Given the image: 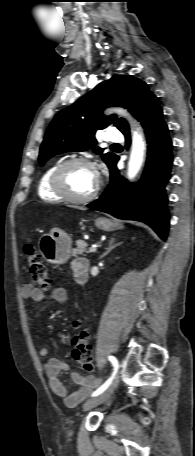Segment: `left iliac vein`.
<instances>
[{
    "instance_id": "4c4485c4",
    "label": "left iliac vein",
    "mask_w": 195,
    "mask_h": 456,
    "mask_svg": "<svg viewBox=\"0 0 195 456\" xmlns=\"http://www.w3.org/2000/svg\"><path fill=\"white\" fill-rule=\"evenodd\" d=\"M118 383H119V376H118V374H115L110 385L101 394L95 396L94 398L88 400L87 402H85L83 404V411H88V410L102 404L106 400H108L109 397L114 392V390L116 389V387L118 386Z\"/></svg>"
}]
</instances>
